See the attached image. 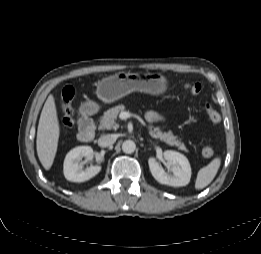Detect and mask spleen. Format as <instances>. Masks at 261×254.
<instances>
[{"label": "spleen", "instance_id": "spleen-1", "mask_svg": "<svg viewBox=\"0 0 261 254\" xmlns=\"http://www.w3.org/2000/svg\"><path fill=\"white\" fill-rule=\"evenodd\" d=\"M221 165L220 157L214 158L207 166L198 171L195 189L200 190L208 186L215 178Z\"/></svg>", "mask_w": 261, "mask_h": 254}]
</instances>
